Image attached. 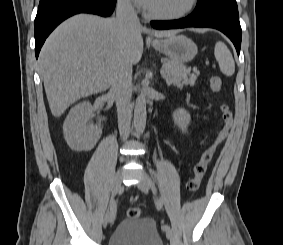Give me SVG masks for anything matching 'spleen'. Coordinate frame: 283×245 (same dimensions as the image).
Returning <instances> with one entry per match:
<instances>
[{
  "label": "spleen",
  "mask_w": 283,
  "mask_h": 245,
  "mask_svg": "<svg viewBox=\"0 0 283 245\" xmlns=\"http://www.w3.org/2000/svg\"><path fill=\"white\" fill-rule=\"evenodd\" d=\"M214 55L221 72L226 76H232L235 72V63L232 54L223 42L218 41L216 43Z\"/></svg>",
  "instance_id": "3e777b00"
}]
</instances>
